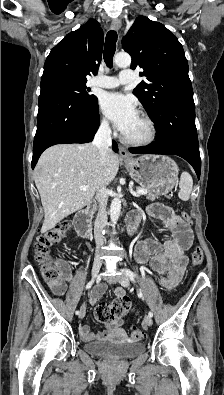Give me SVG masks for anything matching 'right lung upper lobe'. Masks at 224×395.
Masks as SVG:
<instances>
[{"instance_id": "obj_1", "label": "right lung upper lobe", "mask_w": 224, "mask_h": 395, "mask_svg": "<svg viewBox=\"0 0 224 395\" xmlns=\"http://www.w3.org/2000/svg\"><path fill=\"white\" fill-rule=\"evenodd\" d=\"M104 35L100 24L90 19L79 29L69 33L52 48L44 64L43 75L61 72L77 79L96 73L102 59Z\"/></svg>"}]
</instances>
